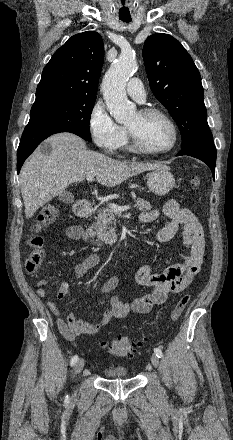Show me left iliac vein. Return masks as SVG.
Listing matches in <instances>:
<instances>
[{
    "mask_svg": "<svg viewBox=\"0 0 233 440\" xmlns=\"http://www.w3.org/2000/svg\"><path fill=\"white\" fill-rule=\"evenodd\" d=\"M151 363L153 364L154 367H158L160 364L159 358L157 357L156 354H152L151 355Z\"/></svg>",
    "mask_w": 233,
    "mask_h": 440,
    "instance_id": "4c4485c4",
    "label": "left iliac vein"
}]
</instances>
